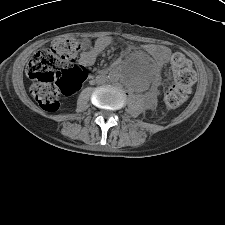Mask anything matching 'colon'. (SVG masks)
Instances as JSON below:
<instances>
[{
	"instance_id": "1",
	"label": "colon",
	"mask_w": 225,
	"mask_h": 225,
	"mask_svg": "<svg viewBox=\"0 0 225 225\" xmlns=\"http://www.w3.org/2000/svg\"><path fill=\"white\" fill-rule=\"evenodd\" d=\"M84 45L83 40L65 36L31 58L26 68L27 75L34 81L31 92L45 110H57L61 98L76 92L83 84L87 72L73 62ZM171 67L173 85L165 95V102L169 108H177L192 95L194 73L189 61L182 55L173 56ZM58 72L61 74L58 75Z\"/></svg>"
}]
</instances>
